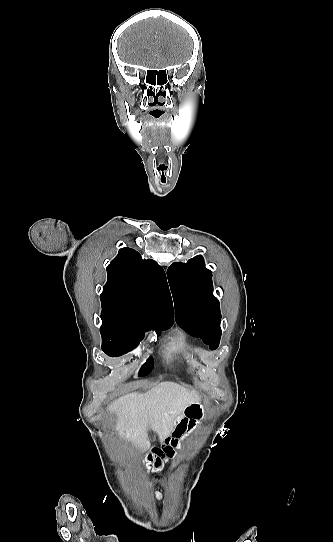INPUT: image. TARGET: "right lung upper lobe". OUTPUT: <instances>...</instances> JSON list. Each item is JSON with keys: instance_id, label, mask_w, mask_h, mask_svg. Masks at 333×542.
I'll return each instance as SVG.
<instances>
[{"instance_id": "right-lung-upper-lobe-1", "label": "right lung upper lobe", "mask_w": 333, "mask_h": 542, "mask_svg": "<svg viewBox=\"0 0 333 542\" xmlns=\"http://www.w3.org/2000/svg\"><path fill=\"white\" fill-rule=\"evenodd\" d=\"M101 294L102 314L144 320L151 329L172 325L173 306L164 270L131 249L119 250L107 267Z\"/></svg>"}]
</instances>
